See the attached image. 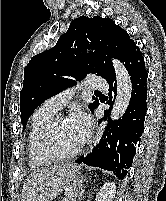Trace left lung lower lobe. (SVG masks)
I'll use <instances>...</instances> for the list:
<instances>
[{
	"label": "left lung lower lobe",
	"instance_id": "left-lung-lower-lobe-1",
	"mask_svg": "<svg viewBox=\"0 0 166 201\" xmlns=\"http://www.w3.org/2000/svg\"><path fill=\"white\" fill-rule=\"evenodd\" d=\"M123 63L132 82L129 106L122 118L109 120L102 138L93 151L86 157L76 160L78 164L83 163L112 171L121 180L127 175L144 130L148 77L144 57L135 43L130 47ZM106 80L109 84V96L105 100L106 104L112 106V96L116 93L117 87L115 73ZM109 113L110 110L105 111L106 115Z\"/></svg>",
	"mask_w": 166,
	"mask_h": 201
}]
</instances>
